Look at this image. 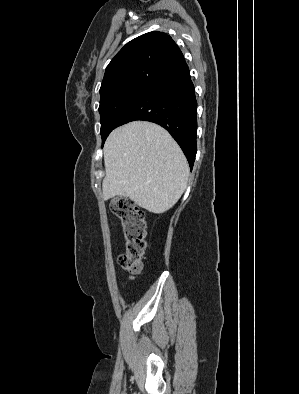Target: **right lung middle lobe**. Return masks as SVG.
<instances>
[{
  "label": "right lung middle lobe",
  "mask_w": 299,
  "mask_h": 394,
  "mask_svg": "<svg viewBox=\"0 0 299 394\" xmlns=\"http://www.w3.org/2000/svg\"><path fill=\"white\" fill-rule=\"evenodd\" d=\"M149 86L150 84L145 83H127L100 93L99 113L102 143L105 142L127 108Z\"/></svg>",
  "instance_id": "dd1d6c3e"
}]
</instances>
